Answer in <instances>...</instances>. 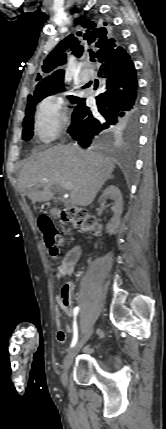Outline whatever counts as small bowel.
I'll use <instances>...</instances> for the list:
<instances>
[{
  "label": "small bowel",
  "mask_w": 166,
  "mask_h": 429,
  "mask_svg": "<svg viewBox=\"0 0 166 429\" xmlns=\"http://www.w3.org/2000/svg\"><path fill=\"white\" fill-rule=\"evenodd\" d=\"M82 254V248L79 245H73L65 250L64 256L56 268L55 274L56 278L67 277L73 274L74 267L76 262L79 260ZM68 285V291L64 290V286L61 289L60 294L56 297V337L60 343H65L66 341V332L70 333L72 328L68 325L63 329L61 325V312L65 313L68 316L74 315V309L71 301V291L72 287ZM77 298L80 297V294L76 295Z\"/></svg>",
  "instance_id": "1"
}]
</instances>
